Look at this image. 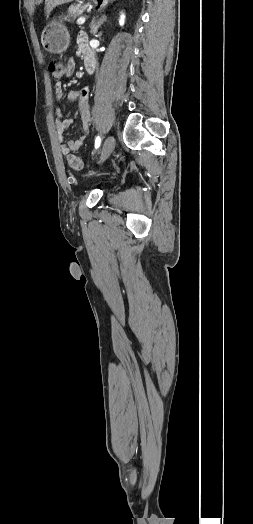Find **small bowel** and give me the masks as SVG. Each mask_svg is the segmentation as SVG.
<instances>
[{"mask_svg":"<svg viewBox=\"0 0 253 524\" xmlns=\"http://www.w3.org/2000/svg\"><path fill=\"white\" fill-rule=\"evenodd\" d=\"M78 44L80 54L83 56L85 64L90 63L94 66L95 69V57L87 45V37L83 32H80L78 35ZM75 68L76 63L73 59H69L67 63V69L65 74L62 76V79L67 81L69 78L74 77L76 74ZM55 94L58 100L65 99L67 102L78 99V109L82 123L80 137L76 140H69L61 145V152L65 156H69L72 152L78 150L84 144V141L89 133V125L91 120L89 89L84 87L81 90L71 91L67 95H64L63 87L61 83H58L55 87ZM55 123L57 136L59 140L62 141L65 131L72 126L73 119L70 117H64L61 109H58Z\"/></svg>","mask_w":253,"mask_h":524,"instance_id":"small-bowel-1","label":"small bowel"}]
</instances>
